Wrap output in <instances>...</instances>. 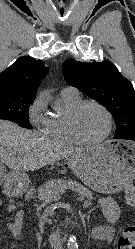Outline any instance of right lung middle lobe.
<instances>
[{
	"label": "right lung middle lobe",
	"instance_id": "right-lung-middle-lobe-1",
	"mask_svg": "<svg viewBox=\"0 0 135 249\" xmlns=\"http://www.w3.org/2000/svg\"><path fill=\"white\" fill-rule=\"evenodd\" d=\"M35 97L0 94V119H6L31 129L28 121V108Z\"/></svg>",
	"mask_w": 135,
	"mask_h": 249
}]
</instances>
